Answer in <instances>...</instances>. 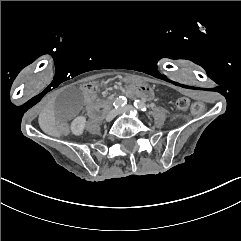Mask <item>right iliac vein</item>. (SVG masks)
Masks as SVG:
<instances>
[{
    "mask_svg": "<svg viewBox=\"0 0 241 241\" xmlns=\"http://www.w3.org/2000/svg\"><path fill=\"white\" fill-rule=\"evenodd\" d=\"M116 114H117V111H116V110L110 111V112L105 116L106 122H110L111 120H113V118L116 116Z\"/></svg>",
    "mask_w": 241,
    "mask_h": 241,
    "instance_id": "63e3f726",
    "label": "right iliac vein"
}]
</instances>
